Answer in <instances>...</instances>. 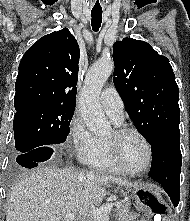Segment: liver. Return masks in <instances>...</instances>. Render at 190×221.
Returning a JSON list of instances; mask_svg holds the SVG:
<instances>
[{
    "label": "liver",
    "instance_id": "6515ba94",
    "mask_svg": "<svg viewBox=\"0 0 190 221\" xmlns=\"http://www.w3.org/2000/svg\"><path fill=\"white\" fill-rule=\"evenodd\" d=\"M110 183L124 187L137 184L116 176L67 168L26 171L11 189L6 221H62L71 213L85 217L92 207L102 203Z\"/></svg>",
    "mask_w": 190,
    "mask_h": 221
}]
</instances>
